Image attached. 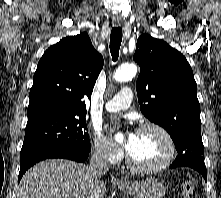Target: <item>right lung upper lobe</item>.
<instances>
[{"mask_svg": "<svg viewBox=\"0 0 221 198\" xmlns=\"http://www.w3.org/2000/svg\"><path fill=\"white\" fill-rule=\"evenodd\" d=\"M87 33L63 38L41 57L33 77L28 121L50 115H85L103 67Z\"/></svg>", "mask_w": 221, "mask_h": 198, "instance_id": "right-lung-upper-lobe-1", "label": "right lung upper lobe"}]
</instances>
